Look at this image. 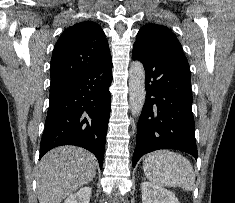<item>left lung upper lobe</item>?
Segmentation results:
<instances>
[{"label":"left lung upper lobe","mask_w":235,"mask_h":203,"mask_svg":"<svg viewBox=\"0 0 235 203\" xmlns=\"http://www.w3.org/2000/svg\"><path fill=\"white\" fill-rule=\"evenodd\" d=\"M134 45L142 46L188 65L180 42L165 26L157 24L143 26L137 34Z\"/></svg>","instance_id":"obj_1"}]
</instances>
